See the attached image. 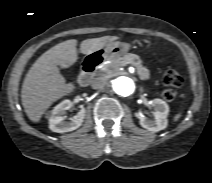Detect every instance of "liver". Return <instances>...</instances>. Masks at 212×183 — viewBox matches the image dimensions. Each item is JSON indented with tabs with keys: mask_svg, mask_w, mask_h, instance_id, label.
Returning a JSON list of instances; mask_svg holds the SVG:
<instances>
[{
	"mask_svg": "<svg viewBox=\"0 0 212 183\" xmlns=\"http://www.w3.org/2000/svg\"><path fill=\"white\" fill-rule=\"evenodd\" d=\"M117 39V36L86 39L81 42L80 51L89 55ZM76 46V39L61 42L43 53L29 69L23 81L21 100L31 121L38 122L55 101L74 90V84L66 83L58 66L69 68L77 61Z\"/></svg>",
	"mask_w": 212,
	"mask_h": 183,
	"instance_id": "obj_1",
	"label": "liver"
}]
</instances>
